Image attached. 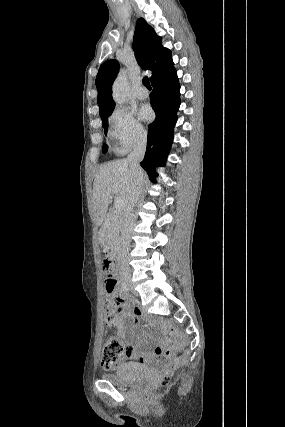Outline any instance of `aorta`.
<instances>
[{
	"mask_svg": "<svg viewBox=\"0 0 285 427\" xmlns=\"http://www.w3.org/2000/svg\"><path fill=\"white\" fill-rule=\"evenodd\" d=\"M128 91L129 82L126 71H120L112 87V96L114 101L119 105L124 104L127 100Z\"/></svg>",
	"mask_w": 285,
	"mask_h": 427,
	"instance_id": "762f6f07",
	"label": "aorta"
}]
</instances>
